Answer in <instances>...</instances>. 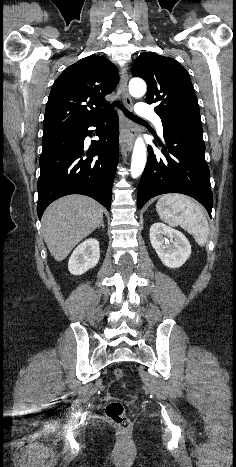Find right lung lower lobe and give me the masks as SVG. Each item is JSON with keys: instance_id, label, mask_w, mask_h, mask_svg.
Instances as JSON below:
<instances>
[{"instance_id": "1", "label": "right lung lower lobe", "mask_w": 236, "mask_h": 467, "mask_svg": "<svg viewBox=\"0 0 236 467\" xmlns=\"http://www.w3.org/2000/svg\"><path fill=\"white\" fill-rule=\"evenodd\" d=\"M97 127L98 141L88 151V127ZM37 213L69 194L90 196L110 210L112 185L119 161V119L110 109L92 122L42 138Z\"/></svg>"}]
</instances>
